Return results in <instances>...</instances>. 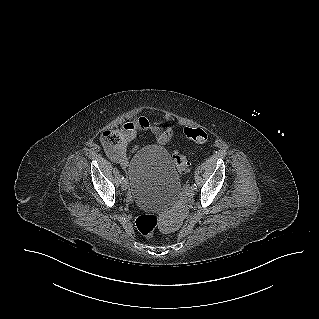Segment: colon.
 <instances>
[{"instance_id": "1", "label": "colon", "mask_w": 319, "mask_h": 319, "mask_svg": "<svg viewBox=\"0 0 319 319\" xmlns=\"http://www.w3.org/2000/svg\"><path fill=\"white\" fill-rule=\"evenodd\" d=\"M177 134L180 139L188 138L196 144L206 143L210 139L208 131L195 127L190 121L181 123ZM172 158L180 174H186L189 171V163L185 155L174 151L172 152ZM135 223L140 233L151 236L159 225V219L152 214H141L137 217Z\"/></svg>"}]
</instances>
